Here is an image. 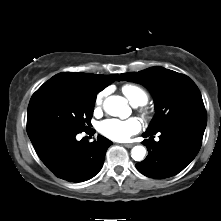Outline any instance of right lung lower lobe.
Here are the masks:
<instances>
[{
	"label": "right lung lower lobe",
	"mask_w": 221,
	"mask_h": 221,
	"mask_svg": "<svg viewBox=\"0 0 221 221\" xmlns=\"http://www.w3.org/2000/svg\"><path fill=\"white\" fill-rule=\"evenodd\" d=\"M77 134L57 128H39L28 132L39 158L54 175L70 182H83L101 170L107 148L112 142L101 135L91 143L77 141Z\"/></svg>",
	"instance_id": "98d812e1"
}]
</instances>
